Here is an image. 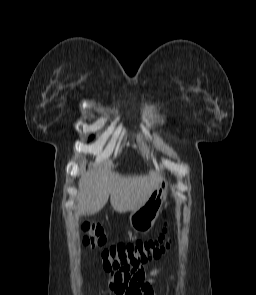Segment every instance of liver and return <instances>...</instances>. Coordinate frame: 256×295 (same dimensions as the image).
Listing matches in <instances>:
<instances>
[{"instance_id":"liver-1","label":"liver","mask_w":256,"mask_h":295,"mask_svg":"<svg viewBox=\"0 0 256 295\" xmlns=\"http://www.w3.org/2000/svg\"><path fill=\"white\" fill-rule=\"evenodd\" d=\"M112 162L81 175L75 216L96 214L110 202L115 211L123 213L140 208L162 182L150 171L148 175H121L114 172Z\"/></svg>"}]
</instances>
